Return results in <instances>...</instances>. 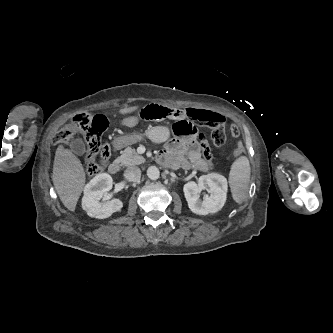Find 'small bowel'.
<instances>
[{
	"instance_id": "obj_1",
	"label": "small bowel",
	"mask_w": 333,
	"mask_h": 333,
	"mask_svg": "<svg viewBox=\"0 0 333 333\" xmlns=\"http://www.w3.org/2000/svg\"><path fill=\"white\" fill-rule=\"evenodd\" d=\"M194 111L203 112L208 115L207 120H200L202 122H215L226 126L228 121L224 116L218 112L193 109ZM138 123V120H126V124L133 126ZM158 162L173 168L195 169L205 171L208 164L201 156V147L196 139L189 137L173 138L169 140L162 151L157 156Z\"/></svg>"
}]
</instances>
